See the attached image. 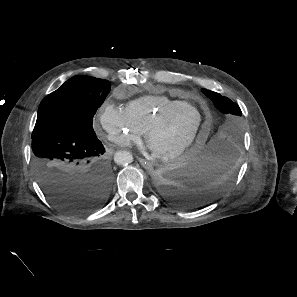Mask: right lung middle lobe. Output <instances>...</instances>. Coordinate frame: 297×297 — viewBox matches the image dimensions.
Returning a JSON list of instances; mask_svg holds the SVG:
<instances>
[{"mask_svg": "<svg viewBox=\"0 0 297 297\" xmlns=\"http://www.w3.org/2000/svg\"><path fill=\"white\" fill-rule=\"evenodd\" d=\"M111 84L77 75L46 96L38 109L32 134L56 127H77L93 133V117L110 91Z\"/></svg>", "mask_w": 297, "mask_h": 297, "instance_id": "right-lung-middle-lobe-1", "label": "right lung middle lobe"}]
</instances>
